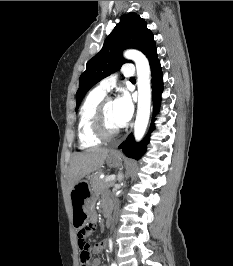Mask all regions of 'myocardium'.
<instances>
[{"instance_id": "f54148a6", "label": "myocardium", "mask_w": 233, "mask_h": 266, "mask_svg": "<svg viewBox=\"0 0 233 266\" xmlns=\"http://www.w3.org/2000/svg\"><path fill=\"white\" fill-rule=\"evenodd\" d=\"M113 99L111 97H104L96 106L93 118H92V132L93 134L100 139L101 141H110L116 138L119 133L120 129H116L110 131L107 129L105 124V108L109 102H112Z\"/></svg>"}]
</instances>
